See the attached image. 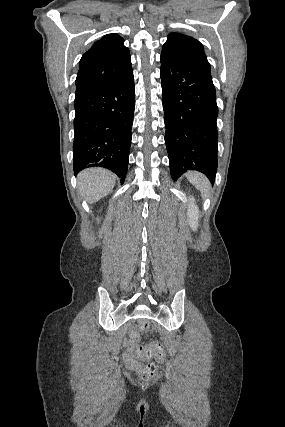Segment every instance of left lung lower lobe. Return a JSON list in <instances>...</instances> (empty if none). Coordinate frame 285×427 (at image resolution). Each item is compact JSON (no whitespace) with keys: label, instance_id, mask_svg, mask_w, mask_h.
Listing matches in <instances>:
<instances>
[{"label":"left lung lower lobe","instance_id":"1","mask_svg":"<svg viewBox=\"0 0 285 427\" xmlns=\"http://www.w3.org/2000/svg\"><path fill=\"white\" fill-rule=\"evenodd\" d=\"M160 77L171 177L177 180L187 170H197L213 183L218 107L210 67L161 56Z\"/></svg>","mask_w":285,"mask_h":427}]
</instances>
